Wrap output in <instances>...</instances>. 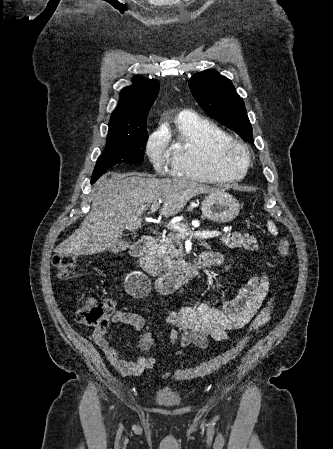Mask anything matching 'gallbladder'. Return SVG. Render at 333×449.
I'll return each instance as SVG.
<instances>
[{"label": "gallbladder", "instance_id": "1", "mask_svg": "<svg viewBox=\"0 0 333 449\" xmlns=\"http://www.w3.org/2000/svg\"><path fill=\"white\" fill-rule=\"evenodd\" d=\"M129 244L124 240H118L116 244L110 246L107 250L109 252L118 253L128 248Z\"/></svg>", "mask_w": 333, "mask_h": 449}]
</instances>
